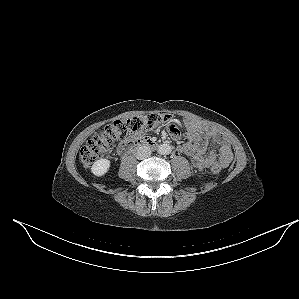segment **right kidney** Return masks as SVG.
<instances>
[{
    "mask_svg": "<svg viewBox=\"0 0 299 299\" xmlns=\"http://www.w3.org/2000/svg\"><path fill=\"white\" fill-rule=\"evenodd\" d=\"M110 168V161L108 159H100L94 162V164L91 167V172L95 176H103L108 172Z\"/></svg>",
    "mask_w": 299,
    "mask_h": 299,
    "instance_id": "obj_1",
    "label": "right kidney"
}]
</instances>
